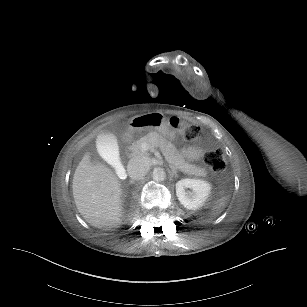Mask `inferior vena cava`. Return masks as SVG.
Wrapping results in <instances>:
<instances>
[{"label": "inferior vena cava", "instance_id": "1", "mask_svg": "<svg viewBox=\"0 0 307 307\" xmlns=\"http://www.w3.org/2000/svg\"><path fill=\"white\" fill-rule=\"evenodd\" d=\"M127 172L131 179L140 180L147 174L148 168L143 161L138 158H133L128 162Z\"/></svg>", "mask_w": 307, "mask_h": 307}]
</instances>
